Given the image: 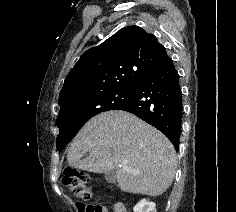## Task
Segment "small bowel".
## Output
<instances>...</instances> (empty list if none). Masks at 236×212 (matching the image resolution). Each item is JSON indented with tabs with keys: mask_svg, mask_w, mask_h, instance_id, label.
<instances>
[{
	"mask_svg": "<svg viewBox=\"0 0 236 212\" xmlns=\"http://www.w3.org/2000/svg\"><path fill=\"white\" fill-rule=\"evenodd\" d=\"M113 212H126L124 206L122 203H117L113 206L112 208ZM104 212H109V210L107 208L104 209Z\"/></svg>",
	"mask_w": 236,
	"mask_h": 212,
	"instance_id": "small-bowel-1",
	"label": "small bowel"
}]
</instances>
